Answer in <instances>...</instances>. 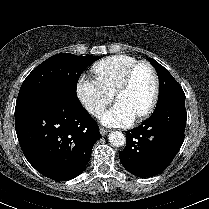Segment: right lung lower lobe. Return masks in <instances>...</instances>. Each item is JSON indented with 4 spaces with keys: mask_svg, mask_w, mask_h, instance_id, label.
I'll list each match as a JSON object with an SVG mask.
<instances>
[{
    "mask_svg": "<svg viewBox=\"0 0 209 209\" xmlns=\"http://www.w3.org/2000/svg\"><path fill=\"white\" fill-rule=\"evenodd\" d=\"M15 130L28 162L55 181L80 175L101 137L78 97L55 88L16 105Z\"/></svg>",
    "mask_w": 209,
    "mask_h": 209,
    "instance_id": "obj_1",
    "label": "right lung lower lobe"
}]
</instances>
